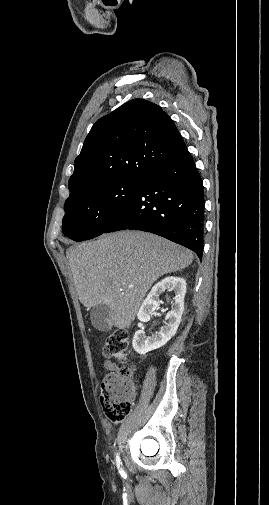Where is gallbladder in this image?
<instances>
[{
	"label": "gallbladder",
	"mask_w": 269,
	"mask_h": 505,
	"mask_svg": "<svg viewBox=\"0 0 269 505\" xmlns=\"http://www.w3.org/2000/svg\"><path fill=\"white\" fill-rule=\"evenodd\" d=\"M90 319L92 325L102 332L111 330L113 326L110 308L104 304H99L91 309Z\"/></svg>",
	"instance_id": "bac80fb5"
}]
</instances>
